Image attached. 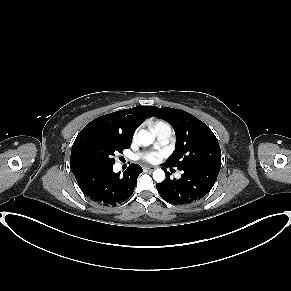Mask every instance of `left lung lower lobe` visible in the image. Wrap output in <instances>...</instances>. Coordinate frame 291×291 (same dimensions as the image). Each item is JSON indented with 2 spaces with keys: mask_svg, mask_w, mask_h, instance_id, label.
I'll return each instance as SVG.
<instances>
[{
  "mask_svg": "<svg viewBox=\"0 0 291 291\" xmlns=\"http://www.w3.org/2000/svg\"><path fill=\"white\" fill-rule=\"evenodd\" d=\"M165 167H169L164 164ZM221 166L214 164H194L182 167L180 179H166L156 184L163 199L174 205L187 204L201 199L213 187Z\"/></svg>",
  "mask_w": 291,
  "mask_h": 291,
  "instance_id": "1",
  "label": "left lung lower lobe"
}]
</instances>
